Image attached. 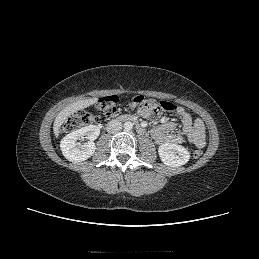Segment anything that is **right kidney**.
Here are the masks:
<instances>
[{"label":"right kidney","mask_w":259,"mask_h":259,"mask_svg":"<svg viewBox=\"0 0 259 259\" xmlns=\"http://www.w3.org/2000/svg\"><path fill=\"white\" fill-rule=\"evenodd\" d=\"M100 134V129L96 125H89L75 130L66 135L61 143L60 148L64 157L72 162H82L87 160L95 152L96 146L94 140ZM88 139L85 144H81L78 140Z\"/></svg>","instance_id":"ca27d5eb"}]
</instances>
